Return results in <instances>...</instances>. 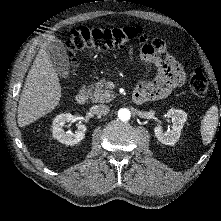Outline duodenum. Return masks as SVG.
<instances>
[{
    "instance_id": "obj_1",
    "label": "duodenum",
    "mask_w": 221,
    "mask_h": 221,
    "mask_svg": "<svg viewBox=\"0 0 221 221\" xmlns=\"http://www.w3.org/2000/svg\"><path fill=\"white\" fill-rule=\"evenodd\" d=\"M87 99H88V93L86 90L79 91L75 97L76 102L80 105L85 104ZM132 99L136 104H142L148 101L147 97L143 93L136 91L133 93Z\"/></svg>"
}]
</instances>
